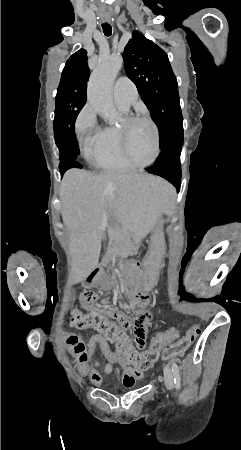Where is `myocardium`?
<instances>
[{
    "mask_svg": "<svg viewBox=\"0 0 241 450\" xmlns=\"http://www.w3.org/2000/svg\"><path fill=\"white\" fill-rule=\"evenodd\" d=\"M136 119V117L134 116V115H128V116H126L124 119H123V122H130V121H134ZM128 125V124H127ZM154 127H159V122H154ZM127 132H129V130L128 129H126V128H122V129H120V131H119V135L116 137V142L119 144V149H121L122 150V153H124L123 155H124V157H128V156H130L129 155V152H125L124 151V144L127 142L126 141V139H125V135H126V133ZM159 132H158V130H153V132H152V136L154 137V139L152 140V151H153V157H152V159L151 160H148L149 162H156V158L157 157H159V150H158V142H160L161 141V138L160 137H158V134Z\"/></svg>",
    "mask_w": 241,
    "mask_h": 450,
    "instance_id": "myocardium-1",
    "label": "myocardium"
}]
</instances>
